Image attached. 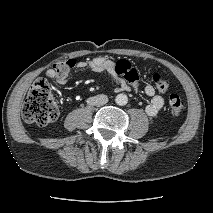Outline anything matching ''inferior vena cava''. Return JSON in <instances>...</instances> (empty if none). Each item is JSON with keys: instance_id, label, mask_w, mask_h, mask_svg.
<instances>
[{"instance_id": "1", "label": "inferior vena cava", "mask_w": 213, "mask_h": 213, "mask_svg": "<svg viewBox=\"0 0 213 213\" xmlns=\"http://www.w3.org/2000/svg\"><path fill=\"white\" fill-rule=\"evenodd\" d=\"M108 102V97L104 94H100L94 97H90L87 103L94 106H101Z\"/></svg>"}]
</instances>
